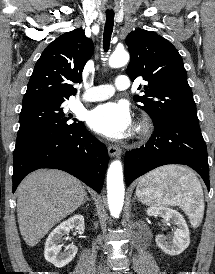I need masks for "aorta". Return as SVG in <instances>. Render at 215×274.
Listing matches in <instances>:
<instances>
[{"label":"aorta","instance_id":"1","mask_svg":"<svg viewBox=\"0 0 215 274\" xmlns=\"http://www.w3.org/2000/svg\"><path fill=\"white\" fill-rule=\"evenodd\" d=\"M129 61V54L125 50H116L109 59V65L113 68L124 66ZM124 184L122 164L119 160L111 163L107 172V196L111 215L117 217L123 207Z\"/></svg>","mask_w":215,"mask_h":274}]
</instances>
